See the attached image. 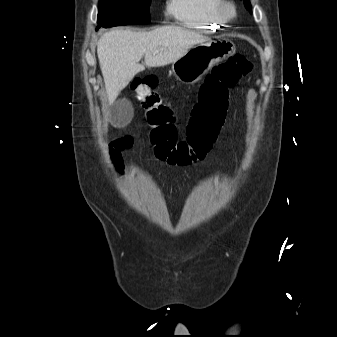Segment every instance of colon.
<instances>
[{"instance_id":"5ec220e1","label":"colon","mask_w":337,"mask_h":337,"mask_svg":"<svg viewBox=\"0 0 337 337\" xmlns=\"http://www.w3.org/2000/svg\"><path fill=\"white\" fill-rule=\"evenodd\" d=\"M252 69L248 59L235 55L211 71L200 87L184 139L179 138L172 111L155 93L157 80L151 76L136 78L131 90L146 111L149 141L156 158L172 165H186L202 159L222 127L228 107V90Z\"/></svg>"}]
</instances>
